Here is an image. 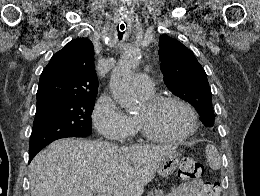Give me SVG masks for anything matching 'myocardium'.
Listing matches in <instances>:
<instances>
[{"instance_id":"myocardium-1","label":"myocardium","mask_w":260,"mask_h":196,"mask_svg":"<svg viewBox=\"0 0 260 196\" xmlns=\"http://www.w3.org/2000/svg\"><path fill=\"white\" fill-rule=\"evenodd\" d=\"M176 102L183 106H185L191 113L193 123L190 129L182 135L179 136H170L164 135L160 132L151 130L148 126H146L139 118L135 117L136 124L143 135L149 137L154 141L159 142H171V143H183L188 141L199 129L200 121L197 110L186 100L182 99L179 96L175 95H165V96H156L145 102L146 107L150 111H155L165 104Z\"/></svg>"}]
</instances>
